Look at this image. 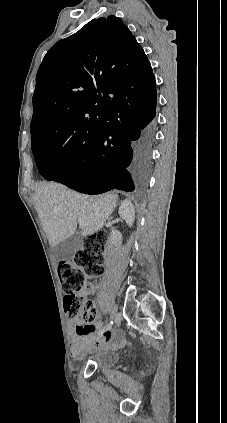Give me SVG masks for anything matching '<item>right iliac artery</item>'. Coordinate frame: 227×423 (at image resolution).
<instances>
[{
	"mask_svg": "<svg viewBox=\"0 0 227 423\" xmlns=\"http://www.w3.org/2000/svg\"><path fill=\"white\" fill-rule=\"evenodd\" d=\"M113 321H110L106 326L99 330V334H103L105 331L109 330L112 327Z\"/></svg>",
	"mask_w": 227,
	"mask_h": 423,
	"instance_id": "1",
	"label": "right iliac artery"
}]
</instances>
